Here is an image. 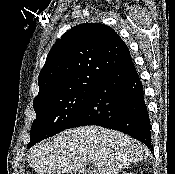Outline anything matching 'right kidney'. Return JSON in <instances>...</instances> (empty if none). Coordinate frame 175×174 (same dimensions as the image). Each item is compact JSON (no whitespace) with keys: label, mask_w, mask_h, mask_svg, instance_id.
<instances>
[{"label":"right kidney","mask_w":175,"mask_h":174,"mask_svg":"<svg viewBox=\"0 0 175 174\" xmlns=\"http://www.w3.org/2000/svg\"><path fill=\"white\" fill-rule=\"evenodd\" d=\"M122 174H132V173H125V172H124V173H122Z\"/></svg>","instance_id":"obj_1"}]
</instances>
